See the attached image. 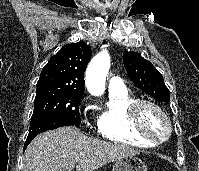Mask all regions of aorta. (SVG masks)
Returning <instances> with one entry per match:
<instances>
[{
	"label": "aorta",
	"instance_id": "obj_1",
	"mask_svg": "<svg viewBox=\"0 0 199 171\" xmlns=\"http://www.w3.org/2000/svg\"><path fill=\"white\" fill-rule=\"evenodd\" d=\"M110 68V56L106 51L98 53L86 70L85 84L90 94L101 96L105 91L106 75Z\"/></svg>",
	"mask_w": 199,
	"mask_h": 171
}]
</instances>
